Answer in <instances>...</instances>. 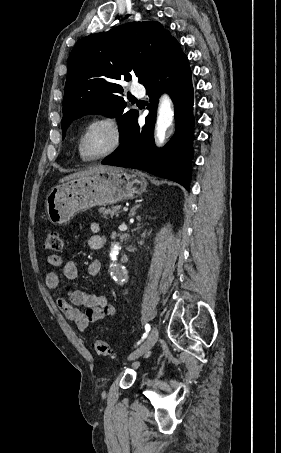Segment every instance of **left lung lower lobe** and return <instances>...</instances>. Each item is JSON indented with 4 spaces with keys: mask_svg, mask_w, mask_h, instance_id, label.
Listing matches in <instances>:
<instances>
[{
    "mask_svg": "<svg viewBox=\"0 0 281 453\" xmlns=\"http://www.w3.org/2000/svg\"><path fill=\"white\" fill-rule=\"evenodd\" d=\"M143 85L151 101L146 124L140 128L135 121L118 149L102 164L145 170L189 189L194 138L193 86L188 59L175 38ZM164 89L174 103L176 132L164 148L158 149L153 132L158 99Z\"/></svg>",
    "mask_w": 281,
    "mask_h": 453,
    "instance_id": "left-lung-lower-lobe-1",
    "label": "left lung lower lobe"
}]
</instances>
